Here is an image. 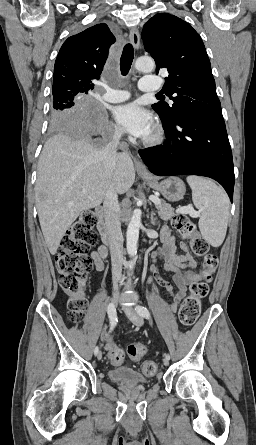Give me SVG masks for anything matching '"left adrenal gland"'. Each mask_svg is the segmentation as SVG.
Here are the masks:
<instances>
[{
  "mask_svg": "<svg viewBox=\"0 0 256 445\" xmlns=\"http://www.w3.org/2000/svg\"><path fill=\"white\" fill-rule=\"evenodd\" d=\"M154 215H155V212L152 211V213H151V224H153L155 226V224H156L155 220L156 219L154 218Z\"/></svg>",
  "mask_w": 256,
  "mask_h": 445,
  "instance_id": "obj_1",
  "label": "left adrenal gland"
}]
</instances>
